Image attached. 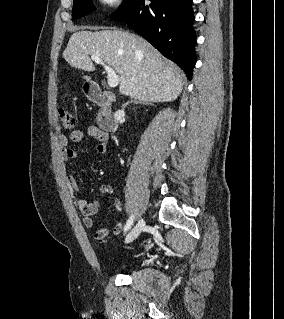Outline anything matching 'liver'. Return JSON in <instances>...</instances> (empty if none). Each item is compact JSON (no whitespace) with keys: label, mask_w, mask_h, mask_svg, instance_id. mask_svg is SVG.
Instances as JSON below:
<instances>
[{"label":"liver","mask_w":284,"mask_h":319,"mask_svg":"<svg viewBox=\"0 0 284 319\" xmlns=\"http://www.w3.org/2000/svg\"><path fill=\"white\" fill-rule=\"evenodd\" d=\"M99 57L119 76V92L144 102L175 100L184 85V74L139 35L128 31L73 33L63 58L72 67L93 72L91 57ZM86 81L90 76L83 77Z\"/></svg>","instance_id":"obj_1"}]
</instances>
